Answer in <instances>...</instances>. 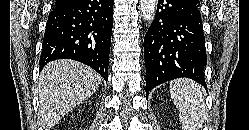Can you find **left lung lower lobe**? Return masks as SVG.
<instances>
[{"label":"left lung lower lobe","mask_w":249,"mask_h":130,"mask_svg":"<svg viewBox=\"0 0 249 130\" xmlns=\"http://www.w3.org/2000/svg\"><path fill=\"white\" fill-rule=\"evenodd\" d=\"M146 94L175 78L187 77L206 88L205 38L199 5L191 0H158L144 38Z\"/></svg>","instance_id":"left-lung-lower-lobe-1"}]
</instances>
